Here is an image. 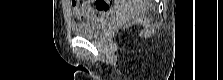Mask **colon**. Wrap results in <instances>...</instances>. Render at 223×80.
I'll return each instance as SVG.
<instances>
[{"label":"colon","instance_id":"1","mask_svg":"<svg viewBox=\"0 0 223 80\" xmlns=\"http://www.w3.org/2000/svg\"><path fill=\"white\" fill-rule=\"evenodd\" d=\"M73 1H75V0H73ZM75 2H77V3H79V4L85 3V2H79V1H75Z\"/></svg>","mask_w":223,"mask_h":80}]
</instances>
